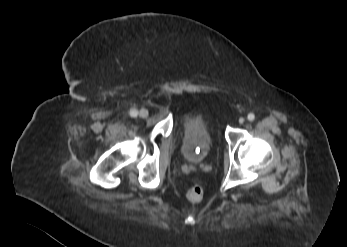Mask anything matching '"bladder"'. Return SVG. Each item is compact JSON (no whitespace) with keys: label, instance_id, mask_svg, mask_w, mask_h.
Returning <instances> with one entry per match:
<instances>
[{"label":"bladder","instance_id":"1","mask_svg":"<svg viewBox=\"0 0 347 247\" xmlns=\"http://www.w3.org/2000/svg\"><path fill=\"white\" fill-rule=\"evenodd\" d=\"M181 151L191 163H202L213 146L211 118L204 112H188L180 119Z\"/></svg>","mask_w":347,"mask_h":247}]
</instances>
